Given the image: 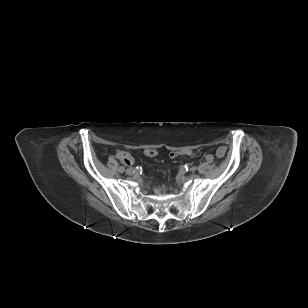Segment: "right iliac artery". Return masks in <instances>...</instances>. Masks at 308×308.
<instances>
[{
  "label": "right iliac artery",
  "mask_w": 308,
  "mask_h": 308,
  "mask_svg": "<svg viewBox=\"0 0 308 308\" xmlns=\"http://www.w3.org/2000/svg\"><path fill=\"white\" fill-rule=\"evenodd\" d=\"M124 170H125V168H124L123 166H119V167H118V171H119L120 173H123Z\"/></svg>",
  "instance_id": "obj_1"
}]
</instances>
